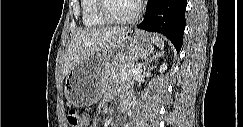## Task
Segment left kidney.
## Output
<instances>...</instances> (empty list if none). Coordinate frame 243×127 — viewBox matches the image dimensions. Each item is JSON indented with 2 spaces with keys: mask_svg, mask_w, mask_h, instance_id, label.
Returning a JSON list of instances; mask_svg holds the SVG:
<instances>
[{
  "mask_svg": "<svg viewBox=\"0 0 243 127\" xmlns=\"http://www.w3.org/2000/svg\"><path fill=\"white\" fill-rule=\"evenodd\" d=\"M167 69V65L163 64L162 66H160V72H164Z\"/></svg>",
  "mask_w": 243,
  "mask_h": 127,
  "instance_id": "1",
  "label": "left kidney"
}]
</instances>
